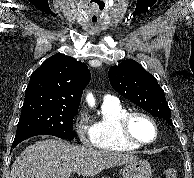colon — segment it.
Listing matches in <instances>:
<instances>
[{
	"mask_svg": "<svg viewBox=\"0 0 194 178\" xmlns=\"http://www.w3.org/2000/svg\"><path fill=\"white\" fill-rule=\"evenodd\" d=\"M165 178H177V171L175 168H168L164 172Z\"/></svg>",
	"mask_w": 194,
	"mask_h": 178,
	"instance_id": "5ec220e1",
	"label": "colon"
}]
</instances>
